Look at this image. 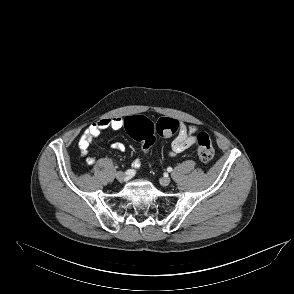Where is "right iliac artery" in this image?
Here are the masks:
<instances>
[{
  "mask_svg": "<svg viewBox=\"0 0 294 294\" xmlns=\"http://www.w3.org/2000/svg\"><path fill=\"white\" fill-rule=\"evenodd\" d=\"M125 174L128 175V176H133L135 174V171L130 169V170H127L125 172Z\"/></svg>",
  "mask_w": 294,
  "mask_h": 294,
  "instance_id": "right-iliac-artery-1",
  "label": "right iliac artery"
}]
</instances>
